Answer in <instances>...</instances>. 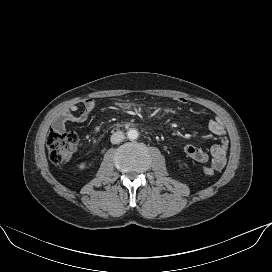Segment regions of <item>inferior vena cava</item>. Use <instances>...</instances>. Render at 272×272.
<instances>
[{"label":"inferior vena cava","mask_w":272,"mask_h":272,"mask_svg":"<svg viewBox=\"0 0 272 272\" xmlns=\"http://www.w3.org/2000/svg\"><path fill=\"white\" fill-rule=\"evenodd\" d=\"M123 139H124V133L122 131H117L112 134L110 140H111V143L118 144L122 142Z\"/></svg>","instance_id":"inferior-vena-cava-1"}]
</instances>
